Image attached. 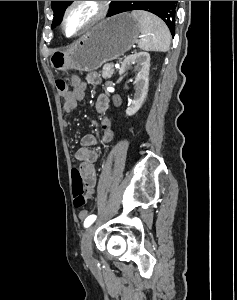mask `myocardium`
Here are the masks:
<instances>
[{"label":"myocardium","mask_w":237,"mask_h":300,"mask_svg":"<svg viewBox=\"0 0 237 300\" xmlns=\"http://www.w3.org/2000/svg\"><path fill=\"white\" fill-rule=\"evenodd\" d=\"M87 2H92L95 4L96 7L95 13L76 33L68 34L66 31V24L70 14L73 12L75 8ZM110 2L111 1H70L66 6V8L64 9L62 15V19H61L62 33L68 38H77L78 36L84 34L86 31L93 28L94 26H96L106 18L110 8Z\"/></svg>","instance_id":"myocardium-1"}]
</instances>
